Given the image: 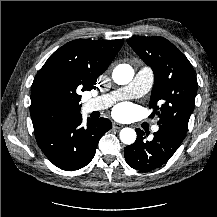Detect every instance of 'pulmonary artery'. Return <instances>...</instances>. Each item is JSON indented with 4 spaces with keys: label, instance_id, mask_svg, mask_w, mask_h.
Instances as JSON below:
<instances>
[{
    "label": "pulmonary artery",
    "instance_id": "e3ab8cb5",
    "mask_svg": "<svg viewBox=\"0 0 217 217\" xmlns=\"http://www.w3.org/2000/svg\"><path fill=\"white\" fill-rule=\"evenodd\" d=\"M153 79L152 69L147 66L141 67L128 85L110 94L89 99L83 104L82 111L83 113L100 111L108 108L117 100L141 97L150 90ZM151 129L153 132H157L159 126L153 125Z\"/></svg>",
    "mask_w": 217,
    "mask_h": 217
}]
</instances>
